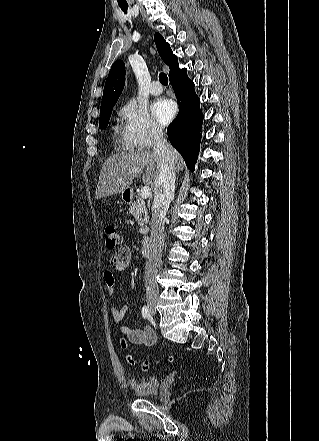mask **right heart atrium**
I'll use <instances>...</instances> for the list:
<instances>
[{
	"instance_id": "right-heart-atrium-1",
	"label": "right heart atrium",
	"mask_w": 319,
	"mask_h": 441,
	"mask_svg": "<svg viewBox=\"0 0 319 441\" xmlns=\"http://www.w3.org/2000/svg\"><path fill=\"white\" fill-rule=\"evenodd\" d=\"M119 116L122 120L121 139L127 150H146L162 139V128L148 110L135 101L125 103Z\"/></svg>"
}]
</instances>
